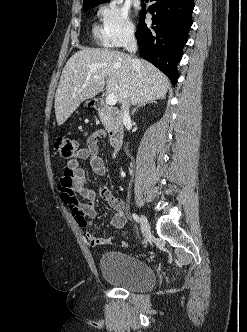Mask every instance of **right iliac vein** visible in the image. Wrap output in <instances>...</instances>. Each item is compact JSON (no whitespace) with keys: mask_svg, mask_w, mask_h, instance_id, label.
I'll list each match as a JSON object with an SVG mask.
<instances>
[{"mask_svg":"<svg viewBox=\"0 0 247 332\" xmlns=\"http://www.w3.org/2000/svg\"><path fill=\"white\" fill-rule=\"evenodd\" d=\"M141 231L144 236H147L150 233V225L144 215H141Z\"/></svg>","mask_w":247,"mask_h":332,"instance_id":"63e3f726","label":"right iliac vein"}]
</instances>
